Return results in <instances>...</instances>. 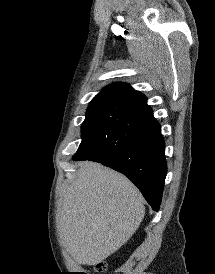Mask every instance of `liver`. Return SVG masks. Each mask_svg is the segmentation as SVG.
Returning a JSON list of instances; mask_svg holds the SVG:
<instances>
[{
	"instance_id": "obj_1",
	"label": "liver",
	"mask_w": 215,
	"mask_h": 274,
	"mask_svg": "<svg viewBox=\"0 0 215 274\" xmlns=\"http://www.w3.org/2000/svg\"><path fill=\"white\" fill-rule=\"evenodd\" d=\"M144 215L142 195L125 176L82 162L61 193V242L76 263L97 265L130 239Z\"/></svg>"
}]
</instances>
